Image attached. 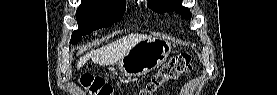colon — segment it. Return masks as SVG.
<instances>
[{
  "instance_id": "1",
  "label": "colon",
  "mask_w": 277,
  "mask_h": 95,
  "mask_svg": "<svg viewBox=\"0 0 277 95\" xmlns=\"http://www.w3.org/2000/svg\"><path fill=\"white\" fill-rule=\"evenodd\" d=\"M191 71V56L187 53L178 54L164 64L160 70L149 80L141 95L156 94L169 80L176 79L182 74ZM82 85L89 88L93 94L111 95L112 86L100 78L92 76L82 79Z\"/></svg>"
}]
</instances>
